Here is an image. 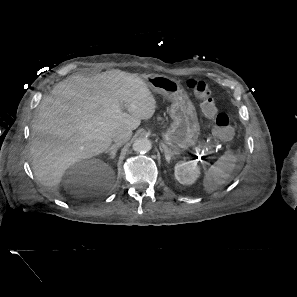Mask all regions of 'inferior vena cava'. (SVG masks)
Masks as SVG:
<instances>
[{
  "mask_svg": "<svg viewBox=\"0 0 297 297\" xmlns=\"http://www.w3.org/2000/svg\"><path fill=\"white\" fill-rule=\"evenodd\" d=\"M132 136V131L129 129H119L113 135L114 142L121 146L122 144L129 141Z\"/></svg>",
  "mask_w": 297,
  "mask_h": 297,
  "instance_id": "602c4592",
  "label": "inferior vena cava"
}]
</instances>
